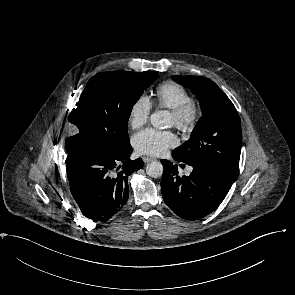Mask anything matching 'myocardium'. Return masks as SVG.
I'll list each match as a JSON object with an SVG mask.
<instances>
[{
	"instance_id": "obj_1",
	"label": "myocardium",
	"mask_w": 295,
	"mask_h": 295,
	"mask_svg": "<svg viewBox=\"0 0 295 295\" xmlns=\"http://www.w3.org/2000/svg\"><path fill=\"white\" fill-rule=\"evenodd\" d=\"M174 117V126L182 131H191L198 124L202 116L201 105L195 101H190L183 107L171 110Z\"/></svg>"
}]
</instances>
